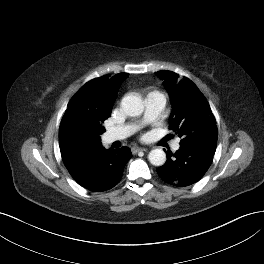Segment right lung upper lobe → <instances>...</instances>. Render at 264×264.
Returning a JSON list of instances; mask_svg holds the SVG:
<instances>
[{
	"instance_id": "cb5924a9",
	"label": "right lung upper lobe",
	"mask_w": 264,
	"mask_h": 264,
	"mask_svg": "<svg viewBox=\"0 0 264 264\" xmlns=\"http://www.w3.org/2000/svg\"><path fill=\"white\" fill-rule=\"evenodd\" d=\"M129 76L120 73L108 75L86 83L68 104L59 129V144L73 142L78 132L90 133L97 123L111 115L121 83Z\"/></svg>"
}]
</instances>
